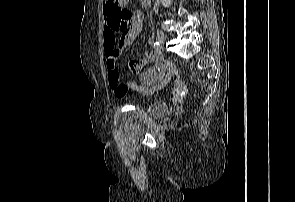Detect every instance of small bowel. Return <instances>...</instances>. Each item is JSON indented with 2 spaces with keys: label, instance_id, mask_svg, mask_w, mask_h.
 <instances>
[{
  "label": "small bowel",
  "instance_id": "obj_1",
  "mask_svg": "<svg viewBox=\"0 0 295 202\" xmlns=\"http://www.w3.org/2000/svg\"><path fill=\"white\" fill-rule=\"evenodd\" d=\"M129 20L128 27H120V21L108 15L104 16V40L103 46L105 51V64L109 77L110 86L117 97H124L127 90L138 92L144 96H151L169 82V86H173V98H184L185 86L187 81H170L175 73L174 67L170 62H164L161 53L149 51L145 54V58L141 62L133 63L135 69L141 68L143 65L154 63V65L139 76V83L134 81L122 82L119 77L117 61L129 47L135 38L140 34L143 28V13L140 9L128 11ZM120 33L119 42L116 41V35ZM175 107H180V102H175Z\"/></svg>",
  "mask_w": 295,
  "mask_h": 202
}]
</instances>
